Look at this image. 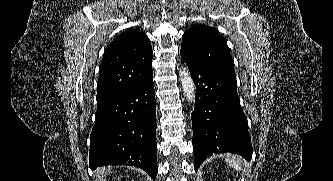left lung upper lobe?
Segmentation results:
<instances>
[{
    "mask_svg": "<svg viewBox=\"0 0 333 181\" xmlns=\"http://www.w3.org/2000/svg\"><path fill=\"white\" fill-rule=\"evenodd\" d=\"M180 52L204 65L236 77L234 61L227 43L212 27L198 24L189 28L182 37Z\"/></svg>",
    "mask_w": 333,
    "mask_h": 181,
    "instance_id": "obj_1",
    "label": "left lung upper lobe"
}]
</instances>
